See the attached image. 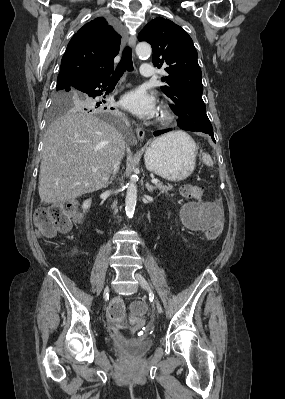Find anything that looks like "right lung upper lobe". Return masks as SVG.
Instances as JSON below:
<instances>
[{
    "mask_svg": "<svg viewBox=\"0 0 285 399\" xmlns=\"http://www.w3.org/2000/svg\"><path fill=\"white\" fill-rule=\"evenodd\" d=\"M121 36L105 18L85 24L72 37L61 61L57 87L73 88L86 75L108 74L119 52Z\"/></svg>",
    "mask_w": 285,
    "mask_h": 399,
    "instance_id": "right-lung-upper-lobe-1",
    "label": "right lung upper lobe"
}]
</instances>
